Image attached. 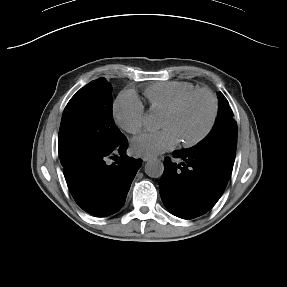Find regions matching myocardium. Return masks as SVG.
I'll list each match as a JSON object with an SVG mask.
<instances>
[{
	"label": "myocardium",
	"mask_w": 287,
	"mask_h": 287,
	"mask_svg": "<svg viewBox=\"0 0 287 287\" xmlns=\"http://www.w3.org/2000/svg\"><path fill=\"white\" fill-rule=\"evenodd\" d=\"M197 95H204L210 103V116L208 123L204 130L196 137L181 141V145L190 148L201 143L212 131L218 113V105L215 96L211 91L205 88H198L190 91L176 101L167 111L164 112V115L172 116L177 114L193 97Z\"/></svg>",
	"instance_id": "1"
}]
</instances>
